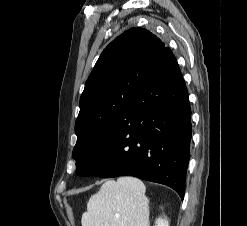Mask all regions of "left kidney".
Wrapping results in <instances>:
<instances>
[{"label":"left kidney","mask_w":247,"mask_h":226,"mask_svg":"<svg viewBox=\"0 0 247 226\" xmlns=\"http://www.w3.org/2000/svg\"><path fill=\"white\" fill-rule=\"evenodd\" d=\"M156 225L155 226H169V222L167 219H163L161 217H159L157 220H156Z\"/></svg>","instance_id":"5707ae66"}]
</instances>
